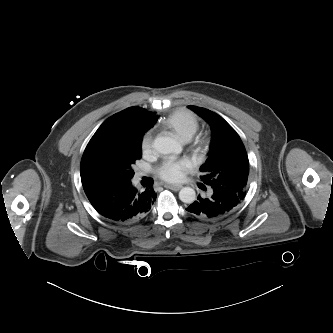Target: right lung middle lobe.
<instances>
[{
    "label": "right lung middle lobe",
    "instance_id": "dd1d6c3e",
    "mask_svg": "<svg viewBox=\"0 0 333 333\" xmlns=\"http://www.w3.org/2000/svg\"><path fill=\"white\" fill-rule=\"evenodd\" d=\"M144 126L128 115L109 117L88 143L80 165L82 185L100 181L129 182L132 165L142 156Z\"/></svg>",
    "mask_w": 333,
    "mask_h": 333
}]
</instances>
